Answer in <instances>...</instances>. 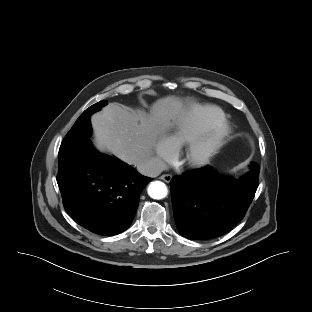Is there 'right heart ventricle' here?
Masks as SVG:
<instances>
[{"label": "right heart ventricle", "instance_id": "e07e8e85", "mask_svg": "<svg viewBox=\"0 0 312 312\" xmlns=\"http://www.w3.org/2000/svg\"><path fill=\"white\" fill-rule=\"evenodd\" d=\"M225 120V113L217 106L193 105L173 119L165 138L174 147L183 145Z\"/></svg>", "mask_w": 312, "mask_h": 312}]
</instances>
